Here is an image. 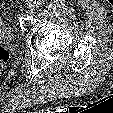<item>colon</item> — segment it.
<instances>
[{
    "mask_svg": "<svg viewBox=\"0 0 113 113\" xmlns=\"http://www.w3.org/2000/svg\"><path fill=\"white\" fill-rule=\"evenodd\" d=\"M10 59H11L10 52L4 47H0V68L7 65L10 62Z\"/></svg>",
    "mask_w": 113,
    "mask_h": 113,
    "instance_id": "colon-1",
    "label": "colon"
}]
</instances>
